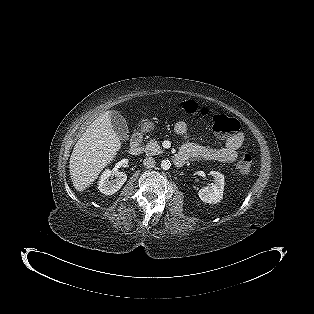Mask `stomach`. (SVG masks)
Returning a JSON list of instances; mask_svg holds the SVG:
<instances>
[{
	"label": "stomach",
	"mask_w": 314,
	"mask_h": 314,
	"mask_svg": "<svg viewBox=\"0 0 314 314\" xmlns=\"http://www.w3.org/2000/svg\"><path fill=\"white\" fill-rule=\"evenodd\" d=\"M155 129V123L151 120H144L140 125L141 133L151 132Z\"/></svg>",
	"instance_id": "0dacf381"
}]
</instances>
